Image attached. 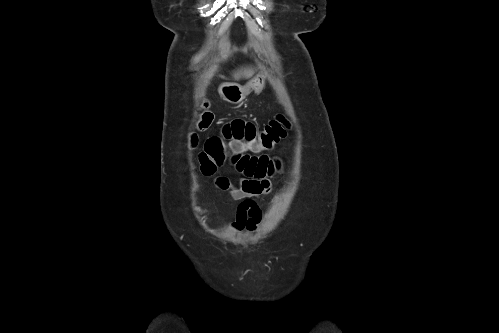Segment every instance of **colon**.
<instances>
[{
	"label": "colon",
	"mask_w": 499,
	"mask_h": 333,
	"mask_svg": "<svg viewBox=\"0 0 499 333\" xmlns=\"http://www.w3.org/2000/svg\"><path fill=\"white\" fill-rule=\"evenodd\" d=\"M212 120L213 115L210 112H204L199 122V128H207ZM287 128V120L282 115H277L260 131L257 140L249 145L235 139L227 141L220 136L211 137L199 153L200 170L206 175L213 174L226 161L230 151L243 154L248 149L256 152L271 150L285 136ZM192 142L195 143V137H193Z\"/></svg>",
	"instance_id": "colon-1"
}]
</instances>
